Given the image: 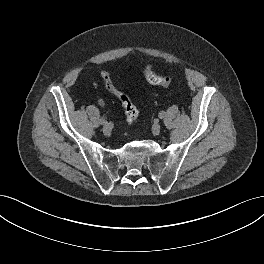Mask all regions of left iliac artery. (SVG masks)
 <instances>
[{"instance_id":"obj_1","label":"left iliac artery","mask_w":264,"mask_h":264,"mask_svg":"<svg viewBox=\"0 0 264 264\" xmlns=\"http://www.w3.org/2000/svg\"><path fill=\"white\" fill-rule=\"evenodd\" d=\"M164 116H165V112H163V111H161L160 113H159V118H164Z\"/></svg>"}]
</instances>
